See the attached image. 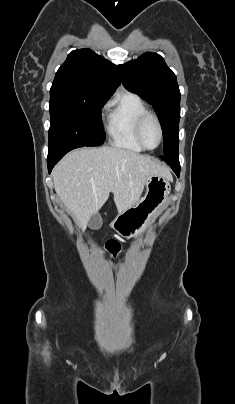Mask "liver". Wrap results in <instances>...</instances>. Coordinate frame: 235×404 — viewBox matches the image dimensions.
<instances>
[{"label": "liver", "mask_w": 235, "mask_h": 404, "mask_svg": "<svg viewBox=\"0 0 235 404\" xmlns=\"http://www.w3.org/2000/svg\"><path fill=\"white\" fill-rule=\"evenodd\" d=\"M153 175L172 179L169 169L150 157L109 146L74 150L52 172L57 195L82 230L110 192L121 213L139 201Z\"/></svg>", "instance_id": "liver-1"}]
</instances>
